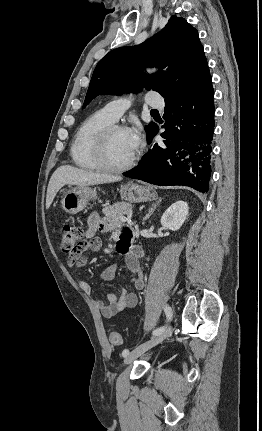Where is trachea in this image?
Wrapping results in <instances>:
<instances>
[{
  "label": "trachea",
  "instance_id": "1",
  "mask_svg": "<svg viewBox=\"0 0 262 431\" xmlns=\"http://www.w3.org/2000/svg\"><path fill=\"white\" fill-rule=\"evenodd\" d=\"M152 114H158V110H151Z\"/></svg>",
  "mask_w": 262,
  "mask_h": 431
}]
</instances>
